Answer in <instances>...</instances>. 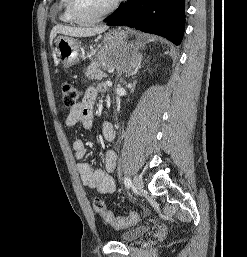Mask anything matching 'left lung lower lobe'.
<instances>
[{"mask_svg": "<svg viewBox=\"0 0 247 257\" xmlns=\"http://www.w3.org/2000/svg\"><path fill=\"white\" fill-rule=\"evenodd\" d=\"M184 5L185 0H127L108 17L107 25L134 27L179 45L185 29Z\"/></svg>", "mask_w": 247, "mask_h": 257, "instance_id": "0a47b994", "label": "left lung lower lobe"}]
</instances>
